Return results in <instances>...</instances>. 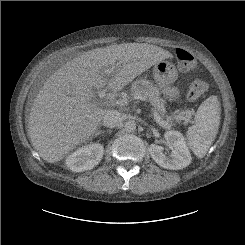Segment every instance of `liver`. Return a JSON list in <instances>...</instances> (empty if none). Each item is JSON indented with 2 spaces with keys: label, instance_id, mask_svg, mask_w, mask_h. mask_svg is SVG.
Returning a JSON list of instances; mask_svg holds the SVG:
<instances>
[{
  "label": "liver",
  "instance_id": "6515ba94",
  "mask_svg": "<svg viewBox=\"0 0 245 245\" xmlns=\"http://www.w3.org/2000/svg\"><path fill=\"white\" fill-rule=\"evenodd\" d=\"M172 54L147 43H124L84 52L55 71L34 99L28 117V134L34 149L49 163L62 160L100 128L106 109L94 89L107 84L117 92L138 75ZM113 68L110 80L106 69Z\"/></svg>",
  "mask_w": 245,
  "mask_h": 245
}]
</instances>
